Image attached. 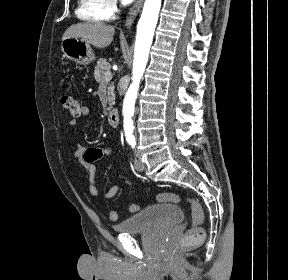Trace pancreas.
Masks as SVG:
<instances>
[{"label":"pancreas","instance_id":"pancreas-1","mask_svg":"<svg viewBox=\"0 0 288 280\" xmlns=\"http://www.w3.org/2000/svg\"><path fill=\"white\" fill-rule=\"evenodd\" d=\"M107 71H110V64L106 61V59H99L95 66L94 78L98 83L107 85V103L109 105L107 110L109 111L115 104V93H114L115 87L113 83L109 84V81L111 79L106 81L105 73Z\"/></svg>","mask_w":288,"mask_h":280}]
</instances>
